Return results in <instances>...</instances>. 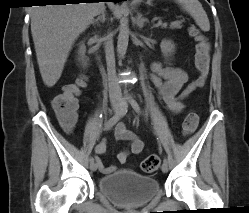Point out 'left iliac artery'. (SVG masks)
I'll use <instances>...</instances> for the list:
<instances>
[{
  "instance_id": "44dca946",
  "label": "left iliac artery",
  "mask_w": 249,
  "mask_h": 213,
  "mask_svg": "<svg viewBox=\"0 0 249 213\" xmlns=\"http://www.w3.org/2000/svg\"><path fill=\"white\" fill-rule=\"evenodd\" d=\"M130 104L132 106V108L137 112V113H141V109L139 107V104L136 102V100L134 99H130ZM164 162H167V159H164Z\"/></svg>"
}]
</instances>
